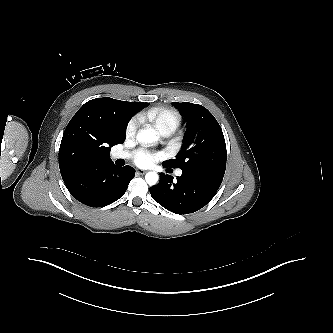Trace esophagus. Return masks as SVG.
I'll return each mask as SVG.
<instances>
[{
	"label": "esophagus",
	"instance_id": "esophagus-1",
	"mask_svg": "<svg viewBox=\"0 0 333 333\" xmlns=\"http://www.w3.org/2000/svg\"><path fill=\"white\" fill-rule=\"evenodd\" d=\"M146 173V171H144V170H136V174H138V175H143V174H145Z\"/></svg>",
	"mask_w": 333,
	"mask_h": 333
}]
</instances>
